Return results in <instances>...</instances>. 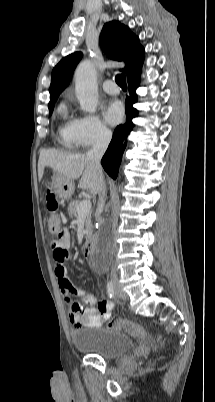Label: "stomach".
<instances>
[{
	"mask_svg": "<svg viewBox=\"0 0 215 402\" xmlns=\"http://www.w3.org/2000/svg\"><path fill=\"white\" fill-rule=\"evenodd\" d=\"M51 186L55 194L62 199H68L74 192V182L58 172L52 176Z\"/></svg>",
	"mask_w": 215,
	"mask_h": 402,
	"instance_id": "stomach-1",
	"label": "stomach"
}]
</instances>
